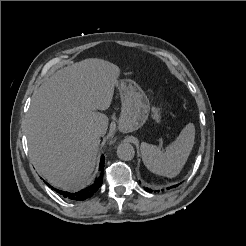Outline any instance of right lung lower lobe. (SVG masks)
<instances>
[{
    "label": "right lung lower lobe",
    "mask_w": 246,
    "mask_h": 246,
    "mask_svg": "<svg viewBox=\"0 0 246 246\" xmlns=\"http://www.w3.org/2000/svg\"><path fill=\"white\" fill-rule=\"evenodd\" d=\"M104 161L105 157L102 156L101 161H100V167L99 170L101 171L100 175L95 179V182L91 184L90 186L82 189L81 191L78 192H69V191H62L55 189L52 187L50 184L46 183L52 190H55L58 192L60 195H62L64 198L73 200V201H82L85 200L91 196L94 195V193L101 187L102 181H103V167H104Z\"/></svg>",
    "instance_id": "98d812e1"
}]
</instances>
